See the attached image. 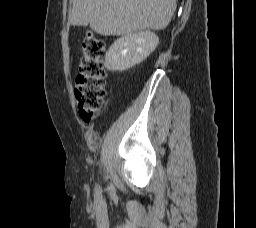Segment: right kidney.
I'll list each match as a JSON object with an SVG mask.
<instances>
[{"label":"right kidney","mask_w":256,"mask_h":228,"mask_svg":"<svg viewBox=\"0 0 256 228\" xmlns=\"http://www.w3.org/2000/svg\"><path fill=\"white\" fill-rule=\"evenodd\" d=\"M158 43V37L151 31L124 35L110 46L105 67L110 71H125L147 58Z\"/></svg>","instance_id":"obj_1"}]
</instances>
